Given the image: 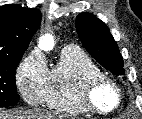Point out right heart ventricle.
Wrapping results in <instances>:
<instances>
[{
    "mask_svg": "<svg viewBox=\"0 0 142 119\" xmlns=\"http://www.w3.org/2000/svg\"><path fill=\"white\" fill-rule=\"evenodd\" d=\"M101 75V69L83 50L67 46L48 71L42 103L71 114H88L90 111L80 99V90L86 80Z\"/></svg>",
    "mask_w": 142,
    "mask_h": 119,
    "instance_id": "right-heart-ventricle-1",
    "label": "right heart ventricle"
}]
</instances>
